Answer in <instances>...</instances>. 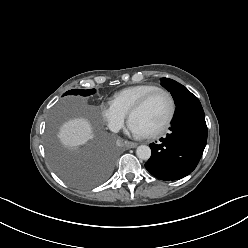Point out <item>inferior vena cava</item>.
Instances as JSON below:
<instances>
[{
	"label": "inferior vena cava",
	"instance_id": "inferior-vena-cava-1",
	"mask_svg": "<svg viewBox=\"0 0 248 248\" xmlns=\"http://www.w3.org/2000/svg\"><path fill=\"white\" fill-rule=\"evenodd\" d=\"M109 129L112 131V132H119V130L121 129V126L119 124H115V123H110L109 124Z\"/></svg>",
	"mask_w": 248,
	"mask_h": 248
}]
</instances>
